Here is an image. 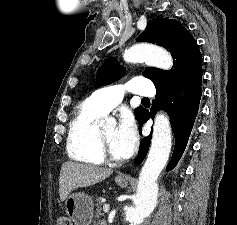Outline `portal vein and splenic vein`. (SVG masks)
Masks as SVG:
<instances>
[{"mask_svg":"<svg viewBox=\"0 0 237 225\" xmlns=\"http://www.w3.org/2000/svg\"><path fill=\"white\" fill-rule=\"evenodd\" d=\"M109 210H110V205H109V204H104V206H103V211H104L105 213H108Z\"/></svg>","mask_w":237,"mask_h":225,"instance_id":"18ae733b","label":"portal vein and splenic vein"}]
</instances>
